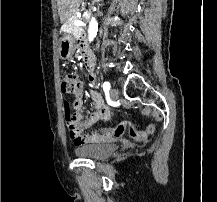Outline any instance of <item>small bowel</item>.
<instances>
[{"label":"small bowel","mask_w":217,"mask_h":202,"mask_svg":"<svg viewBox=\"0 0 217 202\" xmlns=\"http://www.w3.org/2000/svg\"><path fill=\"white\" fill-rule=\"evenodd\" d=\"M92 56L95 61L94 54ZM87 81L90 85H94L96 78L95 76L92 78L88 74ZM88 96L92 102L93 111L86 119H84L83 99L77 98L72 102V108L74 110L72 116H76V121H74L75 129L70 131L71 143L78 147L115 141L121 135L117 134L116 131H98V129L89 130L91 125L99 120L112 122L113 114L110 108L104 103L103 98L99 93L91 91Z\"/></svg>","instance_id":"1"}]
</instances>
